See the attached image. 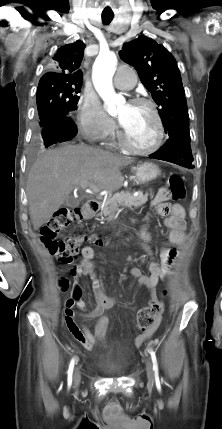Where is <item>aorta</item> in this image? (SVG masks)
Returning a JSON list of instances; mask_svg holds the SVG:
<instances>
[{"label":"aorta","instance_id":"1","mask_svg":"<svg viewBox=\"0 0 222 429\" xmlns=\"http://www.w3.org/2000/svg\"><path fill=\"white\" fill-rule=\"evenodd\" d=\"M117 58L113 52L101 51L93 66V83L96 91L104 101L107 111L112 114L117 106L124 102L121 95L114 91L112 78L116 70Z\"/></svg>","mask_w":222,"mask_h":429}]
</instances>
